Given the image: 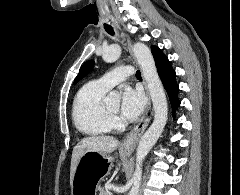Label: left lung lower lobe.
<instances>
[{
    "mask_svg": "<svg viewBox=\"0 0 240 195\" xmlns=\"http://www.w3.org/2000/svg\"><path fill=\"white\" fill-rule=\"evenodd\" d=\"M155 65H156L159 77L168 94V97L172 106V115L173 117H175V110L180 105V101L178 98L179 86L175 81V78H176L175 71L172 68L166 56H163L158 60H155Z\"/></svg>",
    "mask_w": 240,
    "mask_h": 195,
    "instance_id": "1",
    "label": "left lung lower lobe"
}]
</instances>
